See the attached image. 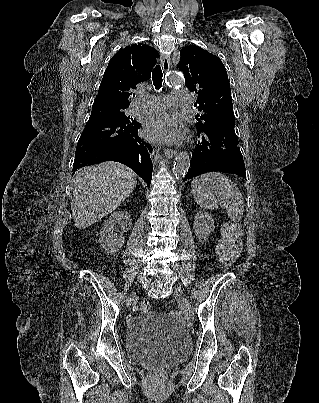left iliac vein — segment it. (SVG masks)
Returning <instances> with one entry per match:
<instances>
[{
    "mask_svg": "<svg viewBox=\"0 0 319 403\" xmlns=\"http://www.w3.org/2000/svg\"><path fill=\"white\" fill-rule=\"evenodd\" d=\"M174 297L180 307L183 310L184 315L187 317L188 320H192L194 313H193V308L189 301L178 291L174 293Z\"/></svg>",
    "mask_w": 319,
    "mask_h": 403,
    "instance_id": "left-iliac-vein-1",
    "label": "left iliac vein"
}]
</instances>
